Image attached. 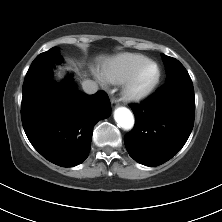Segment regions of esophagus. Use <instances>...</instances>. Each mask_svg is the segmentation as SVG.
<instances>
[{"label": "esophagus", "instance_id": "esophagus-1", "mask_svg": "<svg viewBox=\"0 0 222 222\" xmlns=\"http://www.w3.org/2000/svg\"><path fill=\"white\" fill-rule=\"evenodd\" d=\"M118 102H119L118 98H116V97H112V98H111V103H112V105L116 106V104H117Z\"/></svg>", "mask_w": 222, "mask_h": 222}]
</instances>
